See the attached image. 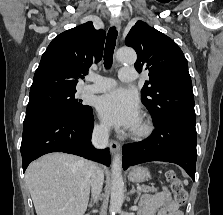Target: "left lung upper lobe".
Masks as SVG:
<instances>
[{
	"label": "left lung upper lobe",
	"mask_w": 223,
	"mask_h": 215,
	"mask_svg": "<svg viewBox=\"0 0 223 215\" xmlns=\"http://www.w3.org/2000/svg\"><path fill=\"white\" fill-rule=\"evenodd\" d=\"M125 44L137 53L135 68L149 71L150 80L142 88V103L154 122L168 118L196 121L194 95L187 60L168 36L137 21Z\"/></svg>",
	"instance_id": "obj_1"
}]
</instances>
